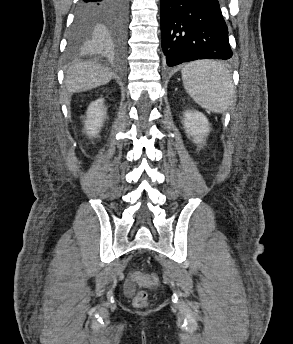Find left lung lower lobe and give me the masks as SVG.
<instances>
[{
  "label": "left lung lower lobe",
  "instance_id": "0a47b994",
  "mask_svg": "<svg viewBox=\"0 0 293 344\" xmlns=\"http://www.w3.org/2000/svg\"><path fill=\"white\" fill-rule=\"evenodd\" d=\"M161 38L169 67L232 57L218 0H161Z\"/></svg>",
  "mask_w": 293,
  "mask_h": 344
}]
</instances>
